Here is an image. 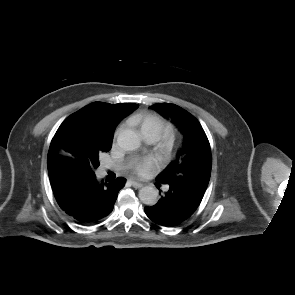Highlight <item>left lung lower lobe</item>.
<instances>
[{
  "instance_id": "obj_1",
  "label": "left lung lower lobe",
  "mask_w": 295,
  "mask_h": 295,
  "mask_svg": "<svg viewBox=\"0 0 295 295\" xmlns=\"http://www.w3.org/2000/svg\"><path fill=\"white\" fill-rule=\"evenodd\" d=\"M168 185V191L161 195L155 205L145 207L146 215L164 227L175 226L188 219L198 208L205 193L202 189L185 188L174 183Z\"/></svg>"
}]
</instances>
